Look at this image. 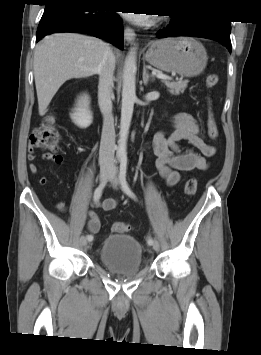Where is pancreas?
<instances>
[{
    "label": "pancreas",
    "instance_id": "1",
    "mask_svg": "<svg viewBox=\"0 0 261 355\" xmlns=\"http://www.w3.org/2000/svg\"><path fill=\"white\" fill-rule=\"evenodd\" d=\"M166 87L169 89V92L172 95H179L185 91L188 85V80L180 81V82H170L168 80L163 81Z\"/></svg>",
    "mask_w": 261,
    "mask_h": 355
}]
</instances>
